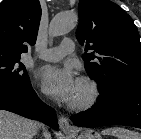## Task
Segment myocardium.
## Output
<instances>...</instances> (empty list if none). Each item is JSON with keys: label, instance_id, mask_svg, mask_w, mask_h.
<instances>
[{"label": "myocardium", "instance_id": "myocardium-1", "mask_svg": "<svg viewBox=\"0 0 141 139\" xmlns=\"http://www.w3.org/2000/svg\"><path fill=\"white\" fill-rule=\"evenodd\" d=\"M77 83L85 88L86 94L82 100L70 102L69 108L78 112L86 111L98 102L101 95L100 88L95 80L87 76L80 77Z\"/></svg>", "mask_w": 141, "mask_h": 139}]
</instances>
